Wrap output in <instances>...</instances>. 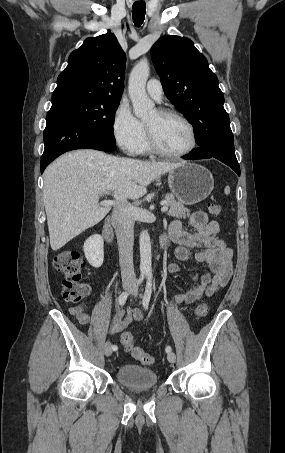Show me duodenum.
Wrapping results in <instances>:
<instances>
[{
	"instance_id": "duodenum-1",
	"label": "duodenum",
	"mask_w": 285,
	"mask_h": 453,
	"mask_svg": "<svg viewBox=\"0 0 285 453\" xmlns=\"http://www.w3.org/2000/svg\"><path fill=\"white\" fill-rule=\"evenodd\" d=\"M102 234H103V237L104 239L108 242V243H113L114 242V236H113V229H112V223H111V218L108 217L106 220H105V223H104V226H103V230H102ZM168 246V242L165 240V239H161V247L163 249L167 248Z\"/></svg>"
}]
</instances>
